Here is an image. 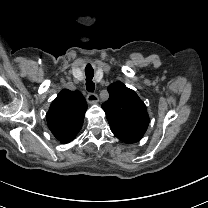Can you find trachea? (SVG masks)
Segmentation results:
<instances>
[{
  "label": "trachea",
  "mask_w": 208,
  "mask_h": 208,
  "mask_svg": "<svg viewBox=\"0 0 208 208\" xmlns=\"http://www.w3.org/2000/svg\"><path fill=\"white\" fill-rule=\"evenodd\" d=\"M85 75H86V90L89 93H94L95 84L92 81L93 76H94V70L90 65L86 67Z\"/></svg>",
  "instance_id": "3493384b"
}]
</instances>
